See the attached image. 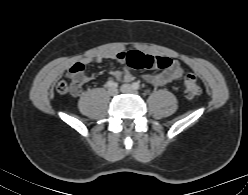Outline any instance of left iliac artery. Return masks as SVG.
<instances>
[{"mask_svg": "<svg viewBox=\"0 0 248 195\" xmlns=\"http://www.w3.org/2000/svg\"><path fill=\"white\" fill-rule=\"evenodd\" d=\"M132 87H133L134 89H139V88H140V84H139L138 82H134V83L132 84Z\"/></svg>", "mask_w": 248, "mask_h": 195, "instance_id": "44dca946", "label": "left iliac artery"}]
</instances>
